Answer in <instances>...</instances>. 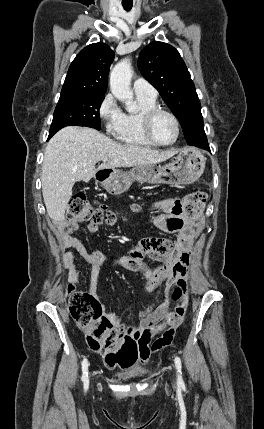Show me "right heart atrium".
<instances>
[{
	"label": "right heart atrium",
	"instance_id": "obj_1",
	"mask_svg": "<svg viewBox=\"0 0 264 429\" xmlns=\"http://www.w3.org/2000/svg\"><path fill=\"white\" fill-rule=\"evenodd\" d=\"M122 114L114 96L111 93L106 94L98 106V116L108 133L115 134L120 125Z\"/></svg>",
	"mask_w": 264,
	"mask_h": 429
}]
</instances>
